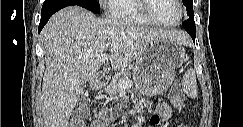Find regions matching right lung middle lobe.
<instances>
[{
    "label": "right lung middle lobe",
    "instance_id": "dd1d6c3e",
    "mask_svg": "<svg viewBox=\"0 0 243 127\" xmlns=\"http://www.w3.org/2000/svg\"><path fill=\"white\" fill-rule=\"evenodd\" d=\"M61 4L78 5L94 13L100 12V6L97 0H45L42 9L50 8Z\"/></svg>",
    "mask_w": 243,
    "mask_h": 127
}]
</instances>
